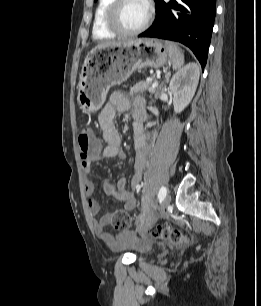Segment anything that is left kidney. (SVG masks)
Listing matches in <instances>:
<instances>
[{
    "label": "left kidney",
    "mask_w": 261,
    "mask_h": 306,
    "mask_svg": "<svg viewBox=\"0 0 261 306\" xmlns=\"http://www.w3.org/2000/svg\"><path fill=\"white\" fill-rule=\"evenodd\" d=\"M200 70L196 63H189L171 78L169 89L173 94L174 112H182L192 100L199 81Z\"/></svg>",
    "instance_id": "5707ae66"
}]
</instances>
